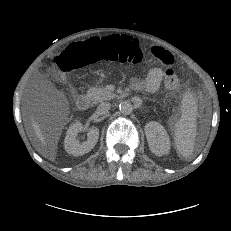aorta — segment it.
I'll return each instance as SVG.
<instances>
[{"label": "aorta", "instance_id": "762f6f07", "mask_svg": "<svg viewBox=\"0 0 231 231\" xmlns=\"http://www.w3.org/2000/svg\"><path fill=\"white\" fill-rule=\"evenodd\" d=\"M119 110L122 114L129 115L132 113L133 107L132 104L128 101H122L119 104Z\"/></svg>", "mask_w": 231, "mask_h": 231}]
</instances>
